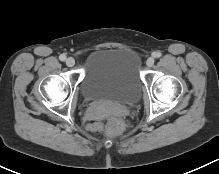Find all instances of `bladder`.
I'll list each match as a JSON object with an SVG mask.
<instances>
[{
  "mask_svg": "<svg viewBox=\"0 0 219 174\" xmlns=\"http://www.w3.org/2000/svg\"><path fill=\"white\" fill-rule=\"evenodd\" d=\"M138 55L127 48H100L85 63L79 89L83 99L133 104L141 96L143 82Z\"/></svg>",
  "mask_w": 219,
  "mask_h": 174,
  "instance_id": "obj_1",
  "label": "bladder"
}]
</instances>
